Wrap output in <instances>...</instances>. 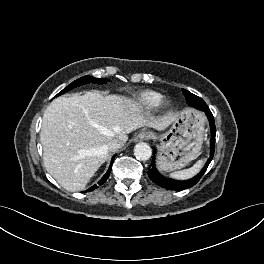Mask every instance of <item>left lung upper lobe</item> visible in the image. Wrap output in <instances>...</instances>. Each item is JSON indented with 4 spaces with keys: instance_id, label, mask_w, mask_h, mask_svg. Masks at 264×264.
<instances>
[{
    "instance_id": "left-lung-upper-lobe-1",
    "label": "left lung upper lobe",
    "mask_w": 264,
    "mask_h": 264,
    "mask_svg": "<svg viewBox=\"0 0 264 264\" xmlns=\"http://www.w3.org/2000/svg\"><path fill=\"white\" fill-rule=\"evenodd\" d=\"M182 91L189 105L194 106L195 108H198V109H200L198 106H202V107L207 106V104L200 97L190 93L189 91L185 89H182Z\"/></svg>"
}]
</instances>
